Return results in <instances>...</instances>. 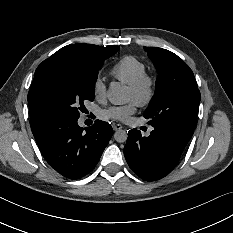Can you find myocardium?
I'll return each instance as SVG.
<instances>
[{"label":"myocardium","instance_id":"f54148a6","mask_svg":"<svg viewBox=\"0 0 233 233\" xmlns=\"http://www.w3.org/2000/svg\"><path fill=\"white\" fill-rule=\"evenodd\" d=\"M155 88L156 78L147 72L143 73L135 82L128 85V89L134 93L141 105H147L152 100L155 94Z\"/></svg>","mask_w":233,"mask_h":233}]
</instances>
